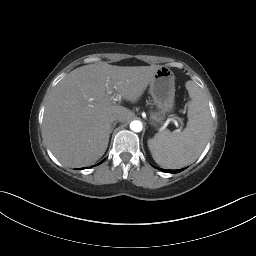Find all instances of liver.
Segmentation results:
<instances>
[{
	"label": "liver",
	"instance_id": "obj_1",
	"mask_svg": "<svg viewBox=\"0 0 256 256\" xmlns=\"http://www.w3.org/2000/svg\"><path fill=\"white\" fill-rule=\"evenodd\" d=\"M160 65H85L67 74L54 88L45 108L43 132L54 156L65 166L95 163L105 153L111 116L125 122L133 113L112 101V90L132 103L143 95Z\"/></svg>",
	"mask_w": 256,
	"mask_h": 256
}]
</instances>
